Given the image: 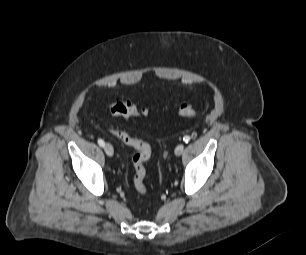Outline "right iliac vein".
<instances>
[{"label": "right iliac vein", "instance_id": "1", "mask_svg": "<svg viewBox=\"0 0 306 255\" xmlns=\"http://www.w3.org/2000/svg\"><path fill=\"white\" fill-rule=\"evenodd\" d=\"M104 150H105V153H106L108 156H110V157L113 156V154H114V149H113V147H112L111 144H109V143L105 144Z\"/></svg>", "mask_w": 306, "mask_h": 255}]
</instances>
